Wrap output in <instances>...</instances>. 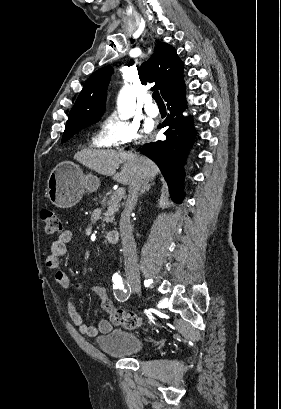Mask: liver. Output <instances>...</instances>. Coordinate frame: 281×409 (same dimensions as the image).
I'll return each instance as SVG.
<instances>
[{"mask_svg":"<svg viewBox=\"0 0 281 409\" xmlns=\"http://www.w3.org/2000/svg\"><path fill=\"white\" fill-rule=\"evenodd\" d=\"M74 158L82 162L84 166L92 168L99 174H106V176H113L114 180L121 182V184H131V180L134 176V162L135 160H141L143 172L145 178L153 180L156 174L160 172L157 164L147 158V156H141L138 152H132V150H98V148H83L80 152L74 154ZM122 170L116 172V168H119V164H122Z\"/></svg>","mask_w":281,"mask_h":409,"instance_id":"6515ba94","label":"liver"}]
</instances>
